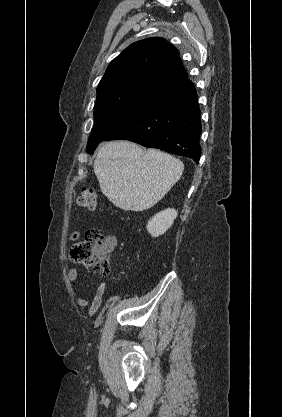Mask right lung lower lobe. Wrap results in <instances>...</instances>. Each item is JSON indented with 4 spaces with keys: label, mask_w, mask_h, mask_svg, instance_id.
<instances>
[{
    "label": "right lung lower lobe",
    "mask_w": 282,
    "mask_h": 417,
    "mask_svg": "<svg viewBox=\"0 0 282 417\" xmlns=\"http://www.w3.org/2000/svg\"><path fill=\"white\" fill-rule=\"evenodd\" d=\"M200 109L194 84L185 78L156 97L103 141L126 139L199 162ZM93 153V152H92Z\"/></svg>",
    "instance_id": "right-lung-lower-lobe-1"
}]
</instances>
